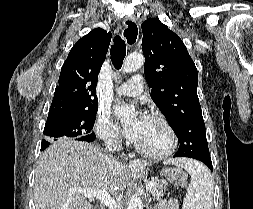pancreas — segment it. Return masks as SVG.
<instances>
[{
  "label": "pancreas",
  "instance_id": "pancreas-1",
  "mask_svg": "<svg viewBox=\"0 0 253 209\" xmlns=\"http://www.w3.org/2000/svg\"><path fill=\"white\" fill-rule=\"evenodd\" d=\"M167 181L166 180H156L154 182V186L151 190V194L156 200H160L164 196V192L167 189Z\"/></svg>",
  "mask_w": 253,
  "mask_h": 209
}]
</instances>
